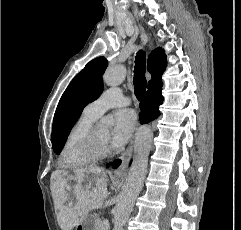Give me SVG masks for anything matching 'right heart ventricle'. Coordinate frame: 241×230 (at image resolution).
I'll return each instance as SVG.
<instances>
[{
	"label": "right heart ventricle",
	"mask_w": 241,
	"mask_h": 230,
	"mask_svg": "<svg viewBox=\"0 0 241 230\" xmlns=\"http://www.w3.org/2000/svg\"><path fill=\"white\" fill-rule=\"evenodd\" d=\"M96 117L89 115L85 111L75 121L67 133L61 152V162L66 167L84 166L91 162L81 152V141L96 121Z\"/></svg>",
	"instance_id": "1"
}]
</instances>
